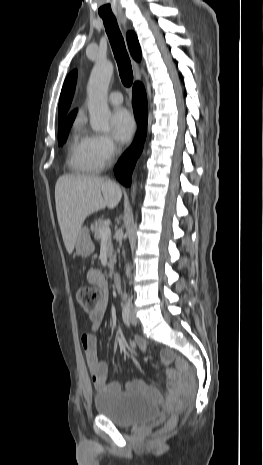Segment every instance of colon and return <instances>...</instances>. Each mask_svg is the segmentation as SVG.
I'll use <instances>...</instances> for the list:
<instances>
[{"label": "colon", "mask_w": 263, "mask_h": 465, "mask_svg": "<svg viewBox=\"0 0 263 465\" xmlns=\"http://www.w3.org/2000/svg\"><path fill=\"white\" fill-rule=\"evenodd\" d=\"M102 298V293L99 289L94 287H82L77 292V301L80 306L87 312L93 310ZM168 408L172 409L175 407L174 403L167 402ZM173 419L168 421V425H172Z\"/></svg>", "instance_id": "obj_1"}]
</instances>
